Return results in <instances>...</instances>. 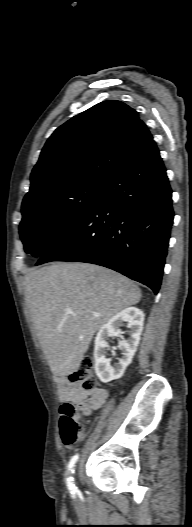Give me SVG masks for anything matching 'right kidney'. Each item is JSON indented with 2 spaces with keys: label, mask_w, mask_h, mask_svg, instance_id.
I'll use <instances>...</instances> for the list:
<instances>
[{
  "label": "right kidney",
  "mask_w": 192,
  "mask_h": 527,
  "mask_svg": "<svg viewBox=\"0 0 192 527\" xmlns=\"http://www.w3.org/2000/svg\"><path fill=\"white\" fill-rule=\"evenodd\" d=\"M124 322L127 323L128 328L131 330L130 338L119 341L118 347L122 351V357L114 365H111V359H107L105 356L106 350L109 348L107 341L110 337L121 333L119 327ZM143 322V311L136 307H128L112 317L99 329L95 338L94 359L95 372L101 382L108 383L122 377L137 351L143 330Z\"/></svg>",
  "instance_id": "ca27d5eb"
}]
</instances>
